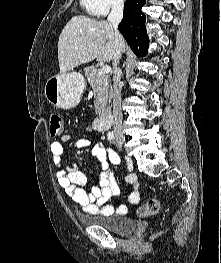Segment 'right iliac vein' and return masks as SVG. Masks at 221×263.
Returning <instances> with one entry per match:
<instances>
[{"mask_svg":"<svg viewBox=\"0 0 221 263\" xmlns=\"http://www.w3.org/2000/svg\"><path fill=\"white\" fill-rule=\"evenodd\" d=\"M118 141H119L120 144H123L125 142V139L123 137H119Z\"/></svg>","mask_w":221,"mask_h":263,"instance_id":"1","label":"right iliac vein"}]
</instances>
